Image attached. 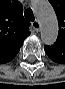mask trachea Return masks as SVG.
I'll use <instances>...</instances> for the list:
<instances>
[{
    "label": "trachea",
    "mask_w": 65,
    "mask_h": 89,
    "mask_svg": "<svg viewBox=\"0 0 65 89\" xmlns=\"http://www.w3.org/2000/svg\"><path fill=\"white\" fill-rule=\"evenodd\" d=\"M24 16H25V19L27 21H34L35 20V17H34V14H33V11L31 9H27L24 13Z\"/></svg>",
    "instance_id": "obj_1"
}]
</instances>
